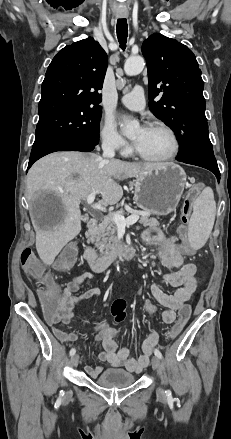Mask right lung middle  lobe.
Wrapping results in <instances>:
<instances>
[{"mask_svg": "<svg viewBox=\"0 0 231 439\" xmlns=\"http://www.w3.org/2000/svg\"><path fill=\"white\" fill-rule=\"evenodd\" d=\"M101 107H78L55 111L39 118L33 147L75 141L97 145Z\"/></svg>", "mask_w": 231, "mask_h": 439, "instance_id": "right-lung-middle-lobe-1", "label": "right lung middle lobe"}]
</instances>
